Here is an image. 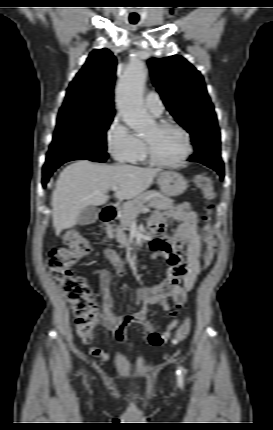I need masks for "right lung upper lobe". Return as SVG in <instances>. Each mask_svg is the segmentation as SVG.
I'll list each match as a JSON object with an SVG mask.
<instances>
[{"label":"right lung upper lobe","instance_id":"obj_1","mask_svg":"<svg viewBox=\"0 0 273 430\" xmlns=\"http://www.w3.org/2000/svg\"><path fill=\"white\" fill-rule=\"evenodd\" d=\"M116 59L108 49L93 50L70 83L61 109L114 112Z\"/></svg>","mask_w":273,"mask_h":430}]
</instances>
